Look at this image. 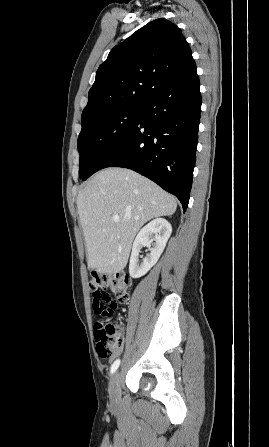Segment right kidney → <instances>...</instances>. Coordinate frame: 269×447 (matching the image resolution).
Wrapping results in <instances>:
<instances>
[{"mask_svg": "<svg viewBox=\"0 0 269 447\" xmlns=\"http://www.w3.org/2000/svg\"><path fill=\"white\" fill-rule=\"evenodd\" d=\"M172 233V227L164 218H156L149 224L144 225L137 233L129 261V273L131 277H141L145 275L156 261H158L170 235ZM153 237V239H150ZM152 241L153 247H150ZM149 247L150 253H147L146 257H143L142 263L138 265L139 251L141 247Z\"/></svg>", "mask_w": 269, "mask_h": 447, "instance_id": "ca27d5eb", "label": "right kidney"}]
</instances>
